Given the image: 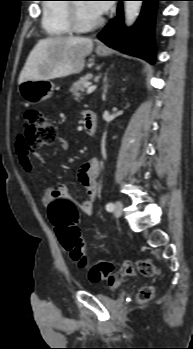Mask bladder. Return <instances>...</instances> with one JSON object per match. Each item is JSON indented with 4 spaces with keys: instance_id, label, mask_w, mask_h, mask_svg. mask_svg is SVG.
Instances as JSON below:
<instances>
[{
    "instance_id": "bladder-1",
    "label": "bladder",
    "mask_w": 193,
    "mask_h": 349,
    "mask_svg": "<svg viewBox=\"0 0 193 349\" xmlns=\"http://www.w3.org/2000/svg\"><path fill=\"white\" fill-rule=\"evenodd\" d=\"M96 296L100 299V300H107V299H109V294H107V293H98V294H96Z\"/></svg>"
}]
</instances>
